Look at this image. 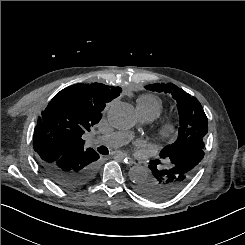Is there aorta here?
I'll list each match as a JSON object with an SVG mask.
<instances>
[{"mask_svg": "<svg viewBox=\"0 0 245 245\" xmlns=\"http://www.w3.org/2000/svg\"><path fill=\"white\" fill-rule=\"evenodd\" d=\"M110 124L117 129H128L136 123L134 107L128 103L117 102L112 104L107 111ZM132 182L138 183L150 177V171L143 166H134L129 171Z\"/></svg>", "mask_w": 245, "mask_h": 245, "instance_id": "1", "label": "aorta"}]
</instances>
